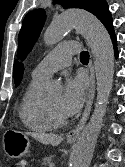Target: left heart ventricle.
Returning <instances> with one entry per match:
<instances>
[{"label": "left heart ventricle", "instance_id": "obj_1", "mask_svg": "<svg viewBox=\"0 0 125 167\" xmlns=\"http://www.w3.org/2000/svg\"><path fill=\"white\" fill-rule=\"evenodd\" d=\"M60 94H54L46 99L51 108L58 114L64 115L60 108Z\"/></svg>", "mask_w": 125, "mask_h": 167}]
</instances>
